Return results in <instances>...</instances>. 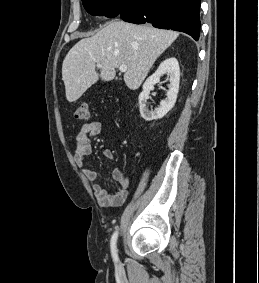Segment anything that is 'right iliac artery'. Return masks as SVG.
<instances>
[{
    "label": "right iliac artery",
    "instance_id": "obj_1",
    "mask_svg": "<svg viewBox=\"0 0 259 283\" xmlns=\"http://www.w3.org/2000/svg\"><path fill=\"white\" fill-rule=\"evenodd\" d=\"M117 238H118V231H115L111 238V254H112L114 262H118V255H117V248H116Z\"/></svg>",
    "mask_w": 259,
    "mask_h": 283
}]
</instances>
